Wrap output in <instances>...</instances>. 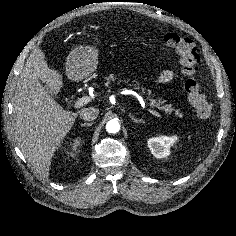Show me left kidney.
<instances>
[{
  "label": "left kidney",
  "mask_w": 236,
  "mask_h": 236,
  "mask_svg": "<svg viewBox=\"0 0 236 236\" xmlns=\"http://www.w3.org/2000/svg\"><path fill=\"white\" fill-rule=\"evenodd\" d=\"M177 140L178 136L176 135L171 137L159 136L148 139L147 143L151 153L156 158L161 159L170 155V147L173 146Z\"/></svg>",
  "instance_id": "left-kidney-1"
}]
</instances>
